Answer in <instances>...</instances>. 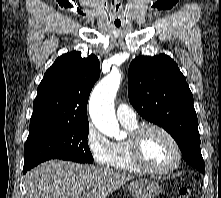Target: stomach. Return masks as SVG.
I'll return each mask as SVG.
<instances>
[{
    "label": "stomach",
    "mask_w": 221,
    "mask_h": 198,
    "mask_svg": "<svg viewBox=\"0 0 221 198\" xmlns=\"http://www.w3.org/2000/svg\"><path fill=\"white\" fill-rule=\"evenodd\" d=\"M127 189L134 198H155L161 192L158 183L146 179L130 182Z\"/></svg>",
    "instance_id": "1"
}]
</instances>
